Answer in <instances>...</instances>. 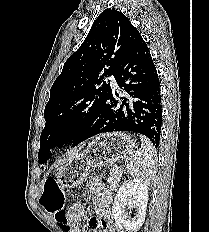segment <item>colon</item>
Returning <instances> with one entry per match:
<instances>
[{
  "label": "colon",
  "instance_id": "colon-1",
  "mask_svg": "<svg viewBox=\"0 0 209 232\" xmlns=\"http://www.w3.org/2000/svg\"><path fill=\"white\" fill-rule=\"evenodd\" d=\"M40 203L59 222V226H68L64 214L65 195L55 179L48 178L45 180Z\"/></svg>",
  "mask_w": 209,
  "mask_h": 232
}]
</instances>
